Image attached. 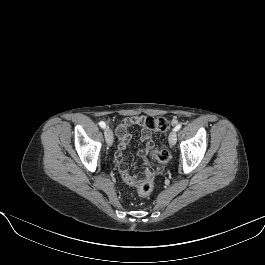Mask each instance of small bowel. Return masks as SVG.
<instances>
[{"instance_id":"obj_1","label":"small bowel","mask_w":265,"mask_h":265,"mask_svg":"<svg viewBox=\"0 0 265 265\" xmlns=\"http://www.w3.org/2000/svg\"><path fill=\"white\" fill-rule=\"evenodd\" d=\"M144 118L145 117L143 116L125 118L117 125L116 128V133L120 140V143L115 154V161L124 182L127 184H134L136 181V178L129 173L128 166L125 163L124 159V151L128 149L131 144V135L129 133V128L131 126H143L140 134V140L142 141L144 146L138 151L139 155H145L153 148L152 132L142 124Z\"/></svg>"}]
</instances>
